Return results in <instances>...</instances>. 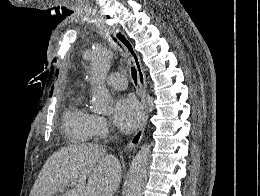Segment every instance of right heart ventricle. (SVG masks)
Segmentation results:
<instances>
[{"mask_svg": "<svg viewBox=\"0 0 260 196\" xmlns=\"http://www.w3.org/2000/svg\"><path fill=\"white\" fill-rule=\"evenodd\" d=\"M95 115L88 109L84 92H76L70 108L64 114V124L67 130H89L93 128ZM76 143H94L92 138H82ZM58 192V190H50Z\"/></svg>", "mask_w": 260, "mask_h": 196, "instance_id": "e07e8e85", "label": "right heart ventricle"}]
</instances>
